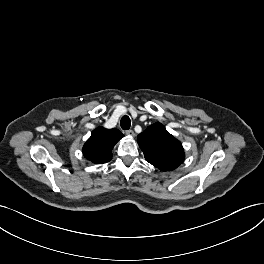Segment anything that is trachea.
<instances>
[{"instance_id":"3493384b","label":"trachea","mask_w":264,"mask_h":264,"mask_svg":"<svg viewBox=\"0 0 264 264\" xmlns=\"http://www.w3.org/2000/svg\"><path fill=\"white\" fill-rule=\"evenodd\" d=\"M120 125L123 130H128L131 126L130 118L127 115L123 116L121 118Z\"/></svg>"}]
</instances>
